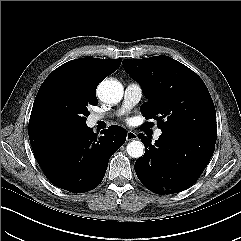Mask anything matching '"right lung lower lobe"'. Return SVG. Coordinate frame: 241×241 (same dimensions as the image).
<instances>
[{"label":"right lung lower lobe","mask_w":241,"mask_h":241,"mask_svg":"<svg viewBox=\"0 0 241 241\" xmlns=\"http://www.w3.org/2000/svg\"><path fill=\"white\" fill-rule=\"evenodd\" d=\"M97 136L87 125L30 138L46 177L57 187L87 192L103 180L108 161L126 141L124 128L112 125Z\"/></svg>","instance_id":"obj_1"}]
</instances>
